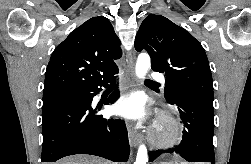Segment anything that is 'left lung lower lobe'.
Listing matches in <instances>:
<instances>
[{
  "mask_svg": "<svg viewBox=\"0 0 251 164\" xmlns=\"http://www.w3.org/2000/svg\"><path fill=\"white\" fill-rule=\"evenodd\" d=\"M183 123V138L179 146L167 151L174 153L188 162H210L215 164L213 132V100L198 96H181L172 102ZM165 151L150 153L152 162Z\"/></svg>",
  "mask_w": 251,
  "mask_h": 164,
  "instance_id": "1",
  "label": "left lung lower lobe"
}]
</instances>
